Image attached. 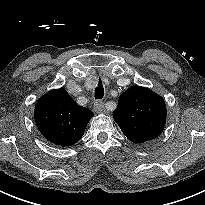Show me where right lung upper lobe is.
<instances>
[{"instance_id": "obj_1", "label": "right lung upper lobe", "mask_w": 205, "mask_h": 205, "mask_svg": "<svg viewBox=\"0 0 205 205\" xmlns=\"http://www.w3.org/2000/svg\"><path fill=\"white\" fill-rule=\"evenodd\" d=\"M35 122L41 134L60 146L78 142L93 113L79 106L63 88L43 95L36 103Z\"/></svg>"}]
</instances>
